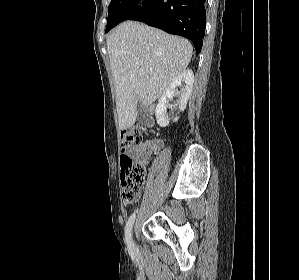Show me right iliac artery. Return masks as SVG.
Masks as SVG:
<instances>
[{
    "label": "right iliac artery",
    "mask_w": 299,
    "mask_h": 280,
    "mask_svg": "<svg viewBox=\"0 0 299 280\" xmlns=\"http://www.w3.org/2000/svg\"><path fill=\"white\" fill-rule=\"evenodd\" d=\"M134 220H135V213H133L130 216V218L128 219L126 226H125V241L127 243L129 250H132V248H133V242L131 239V229H132Z\"/></svg>",
    "instance_id": "right-iliac-artery-1"
}]
</instances>
